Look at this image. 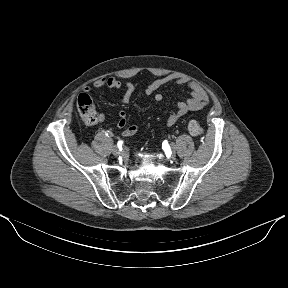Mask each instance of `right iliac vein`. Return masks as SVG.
<instances>
[{"mask_svg":"<svg viewBox=\"0 0 288 288\" xmlns=\"http://www.w3.org/2000/svg\"><path fill=\"white\" fill-rule=\"evenodd\" d=\"M112 153L114 154V155H119L120 154V149H119V147L118 146H116V145H114V146H112Z\"/></svg>","mask_w":288,"mask_h":288,"instance_id":"63e3f726","label":"right iliac vein"}]
</instances>
